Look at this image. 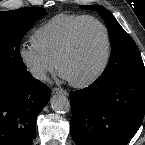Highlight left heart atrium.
I'll return each mask as SVG.
<instances>
[{
  "label": "left heart atrium",
  "mask_w": 145,
  "mask_h": 145,
  "mask_svg": "<svg viewBox=\"0 0 145 145\" xmlns=\"http://www.w3.org/2000/svg\"><path fill=\"white\" fill-rule=\"evenodd\" d=\"M60 76H61V78L66 79L65 76L62 73H60Z\"/></svg>",
  "instance_id": "1"
}]
</instances>
